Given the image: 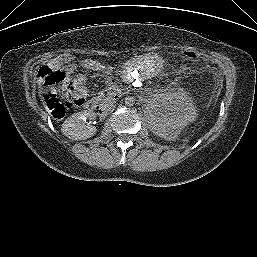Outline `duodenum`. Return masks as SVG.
I'll use <instances>...</instances> for the list:
<instances>
[{"label": "duodenum", "mask_w": 257, "mask_h": 257, "mask_svg": "<svg viewBox=\"0 0 257 257\" xmlns=\"http://www.w3.org/2000/svg\"><path fill=\"white\" fill-rule=\"evenodd\" d=\"M121 97V93L119 91L111 92L107 97H105L102 103L106 106L111 105L117 102ZM100 108V103L95 100L88 101L85 105V109L88 112H95Z\"/></svg>", "instance_id": "410a0bca"}]
</instances>
